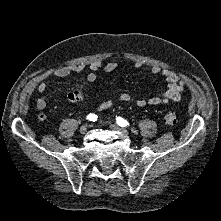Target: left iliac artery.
Segmentation results:
<instances>
[{"mask_svg": "<svg viewBox=\"0 0 221 221\" xmlns=\"http://www.w3.org/2000/svg\"><path fill=\"white\" fill-rule=\"evenodd\" d=\"M116 122L118 125H120L122 127H126L127 125H129V123L125 119H123L122 117H117Z\"/></svg>", "mask_w": 221, "mask_h": 221, "instance_id": "1", "label": "left iliac artery"}]
</instances>
